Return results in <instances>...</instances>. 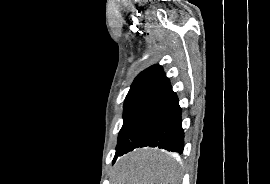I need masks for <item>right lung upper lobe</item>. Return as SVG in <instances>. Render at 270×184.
I'll return each instance as SVG.
<instances>
[{"label":"right lung upper lobe","instance_id":"obj_1","mask_svg":"<svg viewBox=\"0 0 270 184\" xmlns=\"http://www.w3.org/2000/svg\"><path fill=\"white\" fill-rule=\"evenodd\" d=\"M170 85L160 65H153L142 71L134 80L126 99L134 97H148Z\"/></svg>","mask_w":270,"mask_h":184}]
</instances>
